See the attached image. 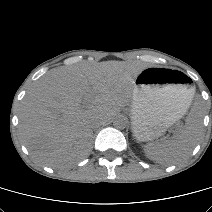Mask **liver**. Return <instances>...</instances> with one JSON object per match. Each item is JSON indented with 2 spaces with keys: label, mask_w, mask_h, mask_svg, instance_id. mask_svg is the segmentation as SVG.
Masks as SVG:
<instances>
[{
  "label": "liver",
  "mask_w": 212,
  "mask_h": 212,
  "mask_svg": "<svg viewBox=\"0 0 212 212\" xmlns=\"http://www.w3.org/2000/svg\"><path fill=\"white\" fill-rule=\"evenodd\" d=\"M142 69L122 61L80 63L40 78L19 112V135L34 159L62 167L85 158L93 126L109 121L130 102ZM87 100L93 106L84 109Z\"/></svg>",
  "instance_id": "obj_1"
}]
</instances>
